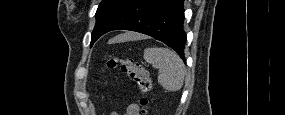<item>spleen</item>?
Masks as SVG:
<instances>
[{
  "mask_svg": "<svg viewBox=\"0 0 285 115\" xmlns=\"http://www.w3.org/2000/svg\"><path fill=\"white\" fill-rule=\"evenodd\" d=\"M125 40L124 35L114 39ZM144 59L153 68L159 69L158 83L167 91H179L184 83L185 65L181 58L172 50L163 47H152L144 50Z\"/></svg>",
  "mask_w": 285,
  "mask_h": 115,
  "instance_id": "1",
  "label": "spleen"
}]
</instances>
